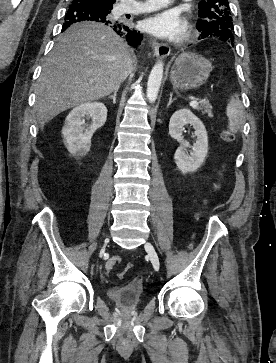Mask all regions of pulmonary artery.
Masks as SVG:
<instances>
[{"label":"pulmonary artery","instance_id":"1","mask_svg":"<svg viewBox=\"0 0 276 363\" xmlns=\"http://www.w3.org/2000/svg\"><path fill=\"white\" fill-rule=\"evenodd\" d=\"M169 0H148L147 3L142 4L138 6L137 9H129L125 8L123 9L125 12L133 11V12H141V11H154L156 9H159L161 7H164L168 4Z\"/></svg>","mask_w":276,"mask_h":363}]
</instances>
